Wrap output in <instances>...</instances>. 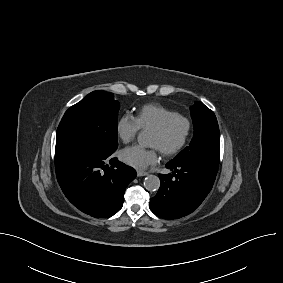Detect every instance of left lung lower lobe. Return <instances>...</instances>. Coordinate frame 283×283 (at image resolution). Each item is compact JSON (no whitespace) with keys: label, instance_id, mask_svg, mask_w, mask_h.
Returning <instances> with one entry per match:
<instances>
[{"label":"left lung lower lobe","instance_id":"obj_1","mask_svg":"<svg viewBox=\"0 0 283 283\" xmlns=\"http://www.w3.org/2000/svg\"><path fill=\"white\" fill-rule=\"evenodd\" d=\"M166 167L172 173L159 175L161 185L150 199L149 207L161 218L178 219L192 213L203 202L213 187L217 170L197 160L170 161Z\"/></svg>","mask_w":283,"mask_h":283}]
</instances>
